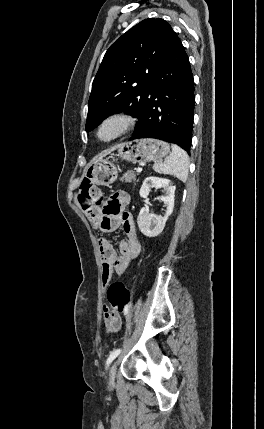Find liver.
I'll return each instance as SVG.
<instances>
[{"label": "liver", "instance_id": "liver-1", "mask_svg": "<svg viewBox=\"0 0 264 429\" xmlns=\"http://www.w3.org/2000/svg\"><path fill=\"white\" fill-rule=\"evenodd\" d=\"M117 147H119V146H115V147H112V148H111V149H109V150L104 151V152H103V153H101L99 156H97L94 160H96V159H101V158L105 157L106 155H108L109 153H111L112 151H114Z\"/></svg>", "mask_w": 264, "mask_h": 429}]
</instances>
